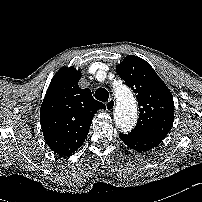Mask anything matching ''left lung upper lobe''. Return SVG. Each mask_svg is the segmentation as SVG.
<instances>
[{"label": "left lung upper lobe", "instance_id": "5c2ea615", "mask_svg": "<svg viewBox=\"0 0 202 202\" xmlns=\"http://www.w3.org/2000/svg\"><path fill=\"white\" fill-rule=\"evenodd\" d=\"M117 74L137 94L139 118L133 134L163 140L173 125L171 92L145 60L129 55L116 66Z\"/></svg>", "mask_w": 202, "mask_h": 202}]
</instances>
